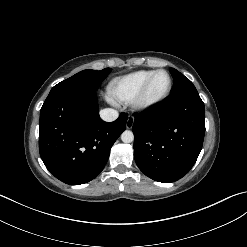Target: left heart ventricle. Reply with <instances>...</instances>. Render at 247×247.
<instances>
[{"instance_id": "b2bd125f", "label": "left heart ventricle", "mask_w": 247, "mask_h": 247, "mask_svg": "<svg viewBox=\"0 0 247 247\" xmlns=\"http://www.w3.org/2000/svg\"><path fill=\"white\" fill-rule=\"evenodd\" d=\"M167 84H168L167 76L163 73L158 74L152 83L150 89V96L157 97L161 95L165 91Z\"/></svg>"}]
</instances>
